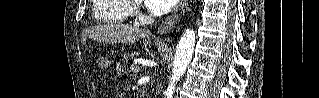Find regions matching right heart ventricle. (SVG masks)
Instances as JSON below:
<instances>
[{
  "label": "right heart ventricle",
  "mask_w": 319,
  "mask_h": 98,
  "mask_svg": "<svg viewBox=\"0 0 319 98\" xmlns=\"http://www.w3.org/2000/svg\"><path fill=\"white\" fill-rule=\"evenodd\" d=\"M131 14L126 0H94L93 16L99 23H120Z\"/></svg>",
  "instance_id": "e07e8e85"
}]
</instances>
